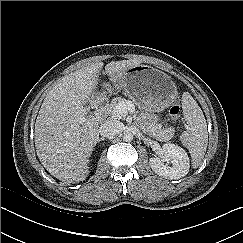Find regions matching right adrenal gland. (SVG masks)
Here are the masks:
<instances>
[{"label": "right adrenal gland", "mask_w": 243, "mask_h": 243, "mask_svg": "<svg viewBox=\"0 0 243 243\" xmlns=\"http://www.w3.org/2000/svg\"><path fill=\"white\" fill-rule=\"evenodd\" d=\"M100 141H104V138H99L98 139V142H100Z\"/></svg>", "instance_id": "obj_1"}]
</instances>
